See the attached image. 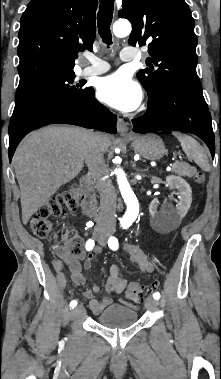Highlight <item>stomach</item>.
I'll list each match as a JSON object with an SVG mask.
<instances>
[{
    "label": "stomach",
    "instance_id": "0dacf381",
    "mask_svg": "<svg viewBox=\"0 0 221 379\" xmlns=\"http://www.w3.org/2000/svg\"><path fill=\"white\" fill-rule=\"evenodd\" d=\"M133 149L143 158L159 160L166 154L162 139L155 134L135 136L131 139Z\"/></svg>",
    "mask_w": 221,
    "mask_h": 379
}]
</instances>
